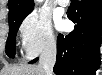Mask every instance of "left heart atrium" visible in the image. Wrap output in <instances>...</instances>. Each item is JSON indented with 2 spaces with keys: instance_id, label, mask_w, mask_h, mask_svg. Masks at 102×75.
Wrapping results in <instances>:
<instances>
[{
  "instance_id": "39dd6f15",
  "label": "left heart atrium",
  "mask_w": 102,
  "mask_h": 75,
  "mask_svg": "<svg viewBox=\"0 0 102 75\" xmlns=\"http://www.w3.org/2000/svg\"><path fill=\"white\" fill-rule=\"evenodd\" d=\"M58 27H59V28L64 27V23H59V24H58Z\"/></svg>"
}]
</instances>
